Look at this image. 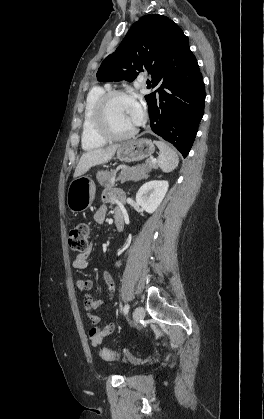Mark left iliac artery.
Listing matches in <instances>:
<instances>
[{
  "instance_id": "44dca946",
  "label": "left iliac artery",
  "mask_w": 264,
  "mask_h": 419,
  "mask_svg": "<svg viewBox=\"0 0 264 419\" xmlns=\"http://www.w3.org/2000/svg\"><path fill=\"white\" fill-rule=\"evenodd\" d=\"M129 308H130V306H129L128 304H126V305L124 306V308H123V312H124V314H127V313H128Z\"/></svg>"
}]
</instances>
